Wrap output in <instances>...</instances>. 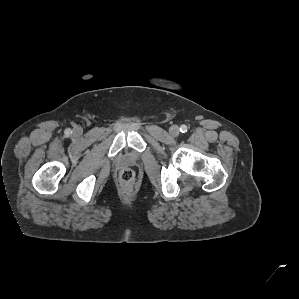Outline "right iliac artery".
Listing matches in <instances>:
<instances>
[{
  "mask_svg": "<svg viewBox=\"0 0 299 299\" xmlns=\"http://www.w3.org/2000/svg\"><path fill=\"white\" fill-rule=\"evenodd\" d=\"M70 133V131H67V134H69Z\"/></svg>",
  "mask_w": 299,
  "mask_h": 299,
  "instance_id": "obj_1",
  "label": "right iliac artery"
}]
</instances>
